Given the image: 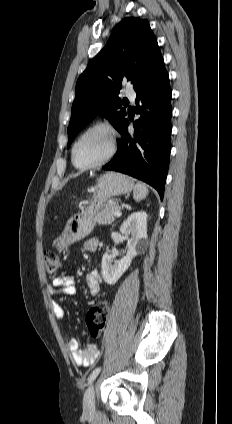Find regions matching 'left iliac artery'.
Wrapping results in <instances>:
<instances>
[{
	"mask_svg": "<svg viewBox=\"0 0 232 424\" xmlns=\"http://www.w3.org/2000/svg\"><path fill=\"white\" fill-rule=\"evenodd\" d=\"M101 370V367H97L89 376L88 378V384L92 383V381L97 377Z\"/></svg>",
	"mask_w": 232,
	"mask_h": 424,
	"instance_id": "1",
	"label": "left iliac artery"
}]
</instances>
